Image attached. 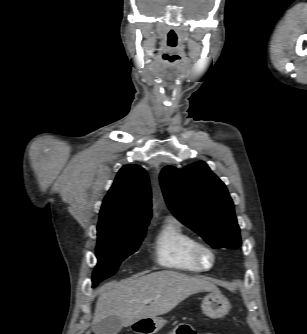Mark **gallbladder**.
<instances>
[{"label": "gallbladder", "instance_id": "obj_1", "mask_svg": "<svg viewBox=\"0 0 307 334\" xmlns=\"http://www.w3.org/2000/svg\"><path fill=\"white\" fill-rule=\"evenodd\" d=\"M123 325L118 316H108L94 325L95 334H118Z\"/></svg>", "mask_w": 307, "mask_h": 334}]
</instances>
